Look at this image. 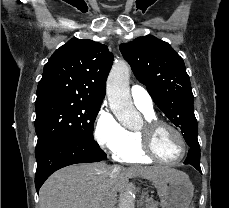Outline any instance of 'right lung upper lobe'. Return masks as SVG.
Here are the masks:
<instances>
[{"mask_svg": "<svg viewBox=\"0 0 229 208\" xmlns=\"http://www.w3.org/2000/svg\"><path fill=\"white\" fill-rule=\"evenodd\" d=\"M113 55L106 45L73 38L57 49L45 64L37 99H78L101 106Z\"/></svg>", "mask_w": 229, "mask_h": 208, "instance_id": "cb5924a9", "label": "right lung upper lobe"}]
</instances>
